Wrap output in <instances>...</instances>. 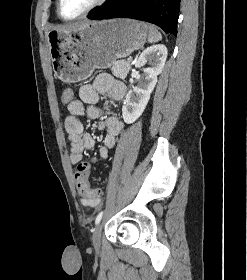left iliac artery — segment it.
<instances>
[{
  "instance_id": "left-iliac-artery-1",
  "label": "left iliac artery",
  "mask_w": 247,
  "mask_h": 280,
  "mask_svg": "<svg viewBox=\"0 0 247 280\" xmlns=\"http://www.w3.org/2000/svg\"><path fill=\"white\" fill-rule=\"evenodd\" d=\"M102 216H103V211H101V212L97 215V217H96V219H95V224H96V225L101 221Z\"/></svg>"
}]
</instances>
